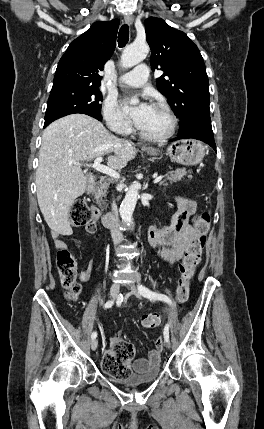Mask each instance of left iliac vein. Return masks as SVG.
<instances>
[{
	"mask_svg": "<svg viewBox=\"0 0 264 429\" xmlns=\"http://www.w3.org/2000/svg\"><path fill=\"white\" fill-rule=\"evenodd\" d=\"M129 288L131 290V292L137 297V298H141V294L140 292L137 290L136 286L134 283H130ZM166 346L168 348H170V343L166 342Z\"/></svg>",
	"mask_w": 264,
	"mask_h": 429,
	"instance_id": "obj_1",
	"label": "left iliac vein"
}]
</instances>
